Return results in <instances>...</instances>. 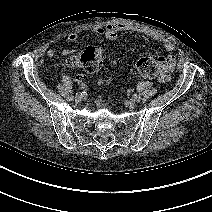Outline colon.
<instances>
[{"label":"colon","instance_id":"1","mask_svg":"<svg viewBox=\"0 0 212 212\" xmlns=\"http://www.w3.org/2000/svg\"><path fill=\"white\" fill-rule=\"evenodd\" d=\"M102 60V49L90 47L81 55L70 58L68 63L72 68H83L87 72L93 73L100 68ZM162 66L163 61L160 57L157 59L152 57H141L135 62L132 73L146 78H159L161 76Z\"/></svg>","mask_w":212,"mask_h":212}]
</instances>
